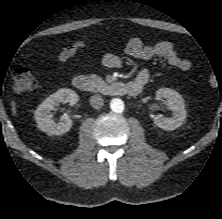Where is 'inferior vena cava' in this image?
I'll use <instances>...</instances> for the list:
<instances>
[{"label": "inferior vena cava", "instance_id": "1", "mask_svg": "<svg viewBox=\"0 0 222 219\" xmlns=\"http://www.w3.org/2000/svg\"><path fill=\"white\" fill-rule=\"evenodd\" d=\"M90 105L95 109H100L104 105V100L100 95H93L90 98Z\"/></svg>", "mask_w": 222, "mask_h": 219}]
</instances>
